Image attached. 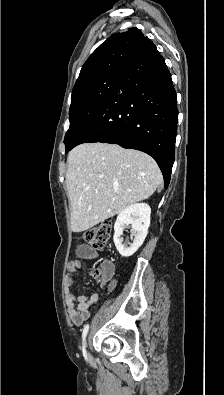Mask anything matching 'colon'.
<instances>
[{"instance_id":"obj_1","label":"colon","mask_w":224,"mask_h":395,"mask_svg":"<svg viewBox=\"0 0 224 395\" xmlns=\"http://www.w3.org/2000/svg\"><path fill=\"white\" fill-rule=\"evenodd\" d=\"M112 226L109 223L99 224L91 229H88L83 234L85 242L94 249H103L111 235ZM111 265L103 264L99 268H94L91 275L98 281L108 278L110 274Z\"/></svg>"}]
</instances>
